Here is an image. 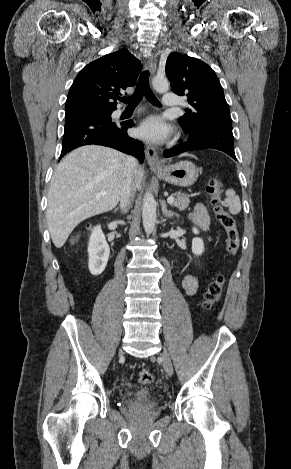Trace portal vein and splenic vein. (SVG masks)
<instances>
[{
  "label": "portal vein and splenic vein",
  "mask_w": 291,
  "mask_h": 469,
  "mask_svg": "<svg viewBox=\"0 0 291 469\" xmlns=\"http://www.w3.org/2000/svg\"><path fill=\"white\" fill-rule=\"evenodd\" d=\"M100 194H101V195H105L106 192H101ZM174 201H175V198H174L173 196H170V197L167 198V202H168L169 204H172Z\"/></svg>",
  "instance_id": "18ae733b"
}]
</instances>
